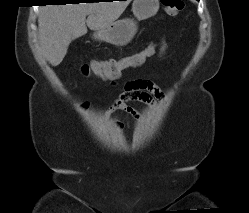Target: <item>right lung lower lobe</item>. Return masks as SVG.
Instances as JSON below:
<instances>
[{
	"instance_id": "right-lung-lower-lobe-1",
	"label": "right lung lower lobe",
	"mask_w": 249,
	"mask_h": 213,
	"mask_svg": "<svg viewBox=\"0 0 249 213\" xmlns=\"http://www.w3.org/2000/svg\"><path fill=\"white\" fill-rule=\"evenodd\" d=\"M45 1L41 2V3H44ZM47 2H54V3H65V0H47Z\"/></svg>"
}]
</instances>
